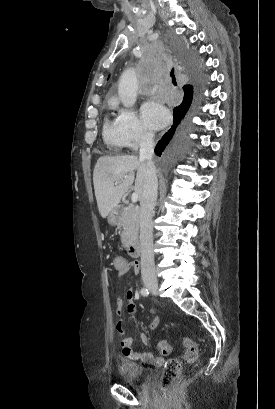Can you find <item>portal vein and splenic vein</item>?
<instances>
[{"label": "portal vein and splenic vein", "mask_w": 275, "mask_h": 409, "mask_svg": "<svg viewBox=\"0 0 275 409\" xmlns=\"http://www.w3.org/2000/svg\"><path fill=\"white\" fill-rule=\"evenodd\" d=\"M115 184H118L117 180H116ZM131 200H132V202H137V200H138V194H137V192H132V194H131Z\"/></svg>", "instance_id": "18ae733b"}]
</instances>
